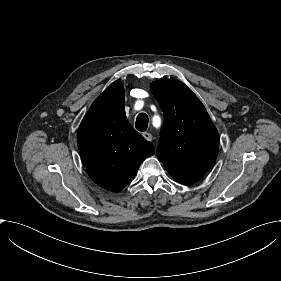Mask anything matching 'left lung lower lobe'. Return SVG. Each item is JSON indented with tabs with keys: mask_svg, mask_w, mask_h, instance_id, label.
<instances>
[{
	"mask_svg": "<svg viewBox=\"0 0 281 281\" xmlns=\"http://www.w3.org/2000/svg\"><path fill=\"white\" fill-rule=\"evenodd\" d=\"M168 172L176 181H178L179 183H181L183 185L193 184L204 176V174L188 175V174H182V173L175 172V171H168Z\"/></svg>",
	"mask_w": 281,
	"mask_h": 281,
	"instance_id": "0a47b994",
	"label": "left lung lower lobe"
}]
</instances>
